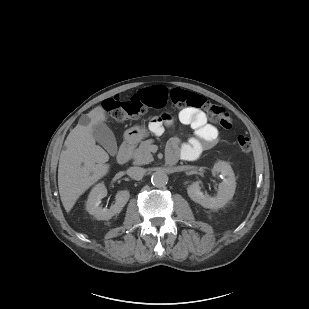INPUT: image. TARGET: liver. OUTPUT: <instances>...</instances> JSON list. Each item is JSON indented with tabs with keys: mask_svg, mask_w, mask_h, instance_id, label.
Instances as JSON below:
<instances>
[{
	"mask_svg": "<svg viewBox=\"0 0 309 309\" xmlns=\"http://www.w3.org/2000/svg\"><path fill=\"white\" fill-rule=\"evenodd\" d=\"M106 120L102 106L86 115V123L78 124L65 140L58 165V187L66 212L78 198L109 171V155L96 145L93 126Z\"/></svg>",
	"mask_w": 309,
	"mask_h": 309,
	"instance_id": "obj_1",
	"label": "liver"
}]
</instances>
